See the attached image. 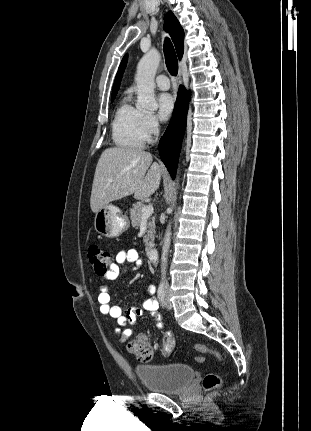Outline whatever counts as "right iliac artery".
I'll return each mask as SVG.
<instances>
[{
    "mask_svg": "<svg viewBox=\"0 0 311 431\" xmlns=\"http://www.w3.org/2000/svg\"><path fill=\"white\" fill-rule=\"evenodd\" d=\"M158 299L161 303V305L164 307L165 306V287L164 284H160L158 287Z\"/></svg>",
    "mask_w": 311,
    "mask_h": 431,
    "instance_id": "obj_1",
    "label": "right iliac artery"
}]
</instances>
